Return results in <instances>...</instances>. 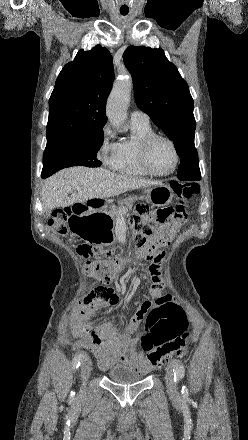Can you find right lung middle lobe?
I'll use <instances>...</instances> for the list:
<instances>
[{
    "label": "right lung middle lobe",
    "instance_id": "obj_1",
    "mask_svg": "<svg viewBox=\"0 0 248 440\" xmlns=\"http://www.w3.org/2000/svg\"><path fill=\"white\" fill-rule=\"evenodd\" d=\"M102 129L85 135L47 143L43 154L42 178H46L60 169L71 166L99 167L97 152L102 146Z\"/></svg>",
    "mask_w": 248,
    "mask_h": 440
}]
</instances>
